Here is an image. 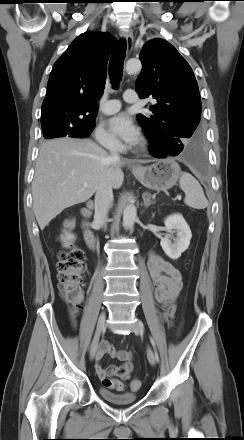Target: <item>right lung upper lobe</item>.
<instances>
[{"label": "right lung upper lobe", "instance_id": "cb5924a9", "mask_svg": "<svg viewBox=\"0 0 244 440\" xmlns=\"http://www.w3.org/2000/svg\"><path fill=\"white\" fill-rule=\"evenodd\" d=\"M114 44L111 34L93 31L81 34L71 43L52 68L41 121H69L76 126L95 121Z\"/></svg>", "mask_w": 244, "mask_h": 440}]
</instances>
